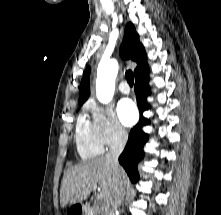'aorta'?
<instances>
[{"mask_svg":"<svg viewBox=\"0 0 221 215\" xmlns=\"http://www.w3.org/2000/svg\"><path fill=\"white\" fill-rule=\"evenodd\" d=\"M118 68L116 59L101 60L98 65L96 96L101 103L107 104L113 98Z\"/></svg>","mask_w":221,"mask_h":215,"instance_id":"aorta-1","label":"aorta"}]
</instances>
